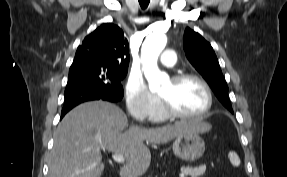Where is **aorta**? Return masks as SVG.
<instances>
[{"label": "aorta", "instance_id": "obj_1", "mask_svg": "<svg viewBox=\"0 0 287 177\" xmlns=\"http://www.w3.org/2000/svg\"><path fill=\"white\" fill-rule=\"evenodd\" d=\"M166 43L167 37L164 33L154 32L146 38L141 48L142 69L152 92L159 90L161 85L168 81V75L161 72L157 65L158 57Z\"/></svg>", "mask_w": 287, "mask_h": 177}]
</instances>
